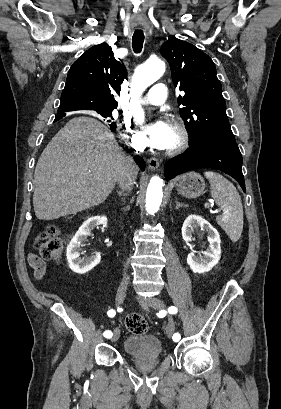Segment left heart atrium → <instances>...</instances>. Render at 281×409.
<instances>
[{
	"mask_svg": "<svg viewBox=\"0 0 281 409\" xmlns=\"http://www.w3.org/2000/svg\"><path fill=\"white\" fill-rule=\"evenodd\" d=\"M170 127L162 121L146 126L142 131L143 142L153 148L164 149L169 138Z\"/></svg>",
	"mask_w": 281,
	"mask_h": 409,
	"instance_id": "39dd6f15",
	"label": "left heart atrium"
}]
</instances>
